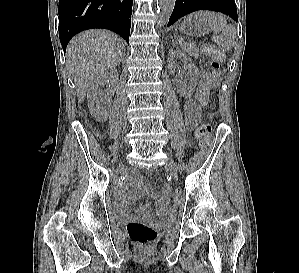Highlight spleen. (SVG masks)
<instances>
[{"mask_svg": "<svg viewBox=\"0 0 299 273\" xmlns=\"http://www.w3.org/2000/svg\"><path fill=\"white\" fill-rule=\"evenodd\" d=\"M197 15L205 22L215 33H220L215 37V42L222 51L227 52L236 37V29L232 25H227L226 19L217 13L210 11H201ZM191 16L188 18L190 19Z\"/></svg>", "mask_w": 299, "mask_h": 273, "instance_id": "obj_1", "label": "spleen"}]
</instances>
